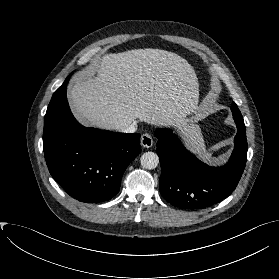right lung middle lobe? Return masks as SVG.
Returning <instances> with one entry per match:
<instances>
[{
  "mask_svg": "<svg viewBox=\"0 0 279 279\" xmlns=\"http://www.w3.org/2000/svg\"><path fill=\"white\" fill-rule=\"evenodd\" d=\"M72 73L66 78L64 83L55 91V93L53 94L52 99L49 103L48 109L53 107L54 105H56L60 101V99L63 97V95L66 92V84L69 81V78L72 75Z\"/></svg>",
  "mask_w": 279,
  "mask_h": 279,
  "instance_id": "obj_1",
  "label": "right lung middle lobe"
}]
</instances>
